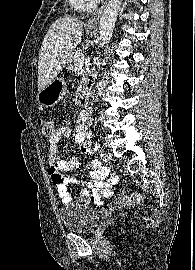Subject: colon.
<instances>
[{"label": "colon", "instance_id": "5ec220e1", "mask_svg": "<svg viewBox=\"0 0 195 270\" xmlns=\"http://www.w3.org/2000/svg\"><path fill=\"white\" fill-rule=\"evenodd\" d=\"M37 123H38V126L40 127L41 132L44 136L51 137L53 135L54 124L50 119L39 118ZM141 200H142V195L139 193H136V194L117 198L116 200H114L112 202V205L116 206V207H121V206H126V205H130V204L138 203Z\"/></svg>", "mask_w": 195, "mask_h": 270}]
</instances>
